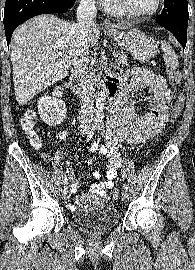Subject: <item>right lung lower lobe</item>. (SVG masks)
Listing matches in <instances>:
<instances>
[{"label": "right lung lower lobe", "mask_w": 195, "mask_h": 270, "mask_svg": "<svg viewBox=\"0 0 195 270\" xmlns=\"http://www.w3.org/2000/svg\"><path fill=\"white\" fill-rule=\"evenodd\" d=\"M76 2L77 0H6L4 28L8 46L15 28L29 18L40 14L67 13Z\"/></svg>", "instance_id": "1"}]
</instances>
